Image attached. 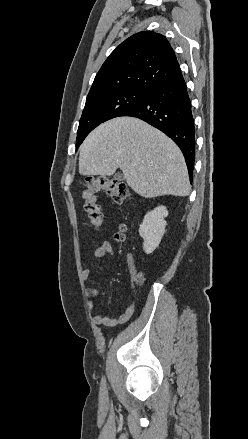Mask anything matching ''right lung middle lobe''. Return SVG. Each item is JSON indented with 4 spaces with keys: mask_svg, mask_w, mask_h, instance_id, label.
Instances as JSON below:
<instances>
[{
    "mask_svg": "<svg viewBox=\"0 0 248 439\" xmlns=\"http://www.w3.org/2000/svg\"><path fill=\"white\" fill-rule=\"evenodd\" d=\"M147 94L141 90L124 89L86 101L77 131L76 150L95 127L120 116Z\"/></svg>",
    "mask_w": 248,
    "mask_h": 439,
    "instance_id": "right-lung-middle-lobe-1",
    "label": "right lung middle lobe"
}]
</instances>
